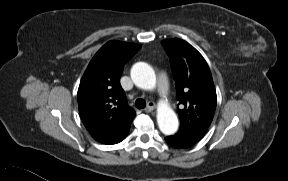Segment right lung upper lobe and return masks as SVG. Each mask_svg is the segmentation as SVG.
I'll return each mask as SVG.
<instances>
[{"label": "right lung upper lobe", "instance_id": "right-lung-upper-lobe-1", "mask_svg": "<svg viewBox=\"0 0 288 181\" xmlns=\"http://www.w3.org/2000/svg\"><path fill=\"white\" fill-rule=\"evenodd\" d=\"M141 45L109 41L90 61L79 85L78 107L90 135L103 144L121 142L135 111L128 106L120 76Z\"/></svg>", "mask_w": 288, "mask_h": 181}]
</instances>
